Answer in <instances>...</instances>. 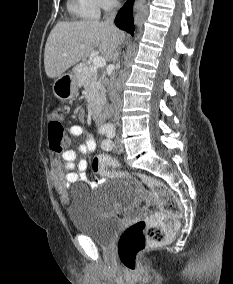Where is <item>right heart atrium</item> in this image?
<instances>
[{
	"label": "right heart atrium",
	"mask_w": 233,
	"mask_h": 284,
	"mask_svg": "<svg viewBox=\"0 0 233 284\" xmlns=\"http://www.w3.org/2000/svg\"><path fill=\"white\" fill-rule=\"evenodd\" d=\"M98 7L104 11H110L119 4L118 0H95Z\"/></svg>",
	"instance_id": "right-heart-atrium-1"
}]
</instances>
